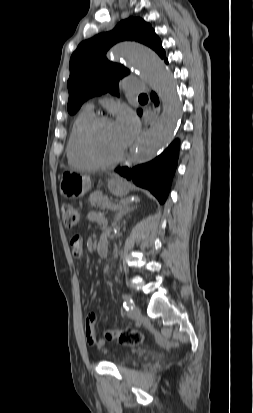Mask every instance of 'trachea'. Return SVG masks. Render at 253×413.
<instances>
[{
	"label": "trachea",
	"instance_id": "obj_1",
	"mask_svg": "<svg viewBox=\"0 0 253 413\" xmlns=\"http://www.w3.org/2000/svg\"><path fill=\"white\" fill-rule=\"evenodd\" d=\"M139 97L143 98V97H147V95L146 94H141Z\"/></svg>",
	"mask_w": 253,
	"mask_h": 413
}]
</instances>
